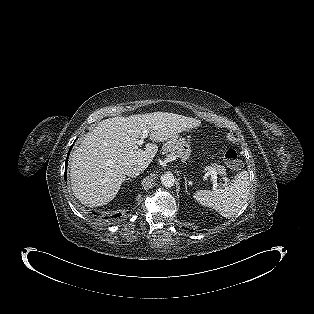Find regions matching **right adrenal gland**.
<instances>
[{
	"instance_id": "right-adrenal-gland-1",
	"label": "right adrenal gland",
	"mask_w": 314,
	"mask_h": 314,
	"mask_svg": "<svg viewBox=\"0 0 314 314\" xmlns=\"http://www.w3.org/2000/svg\"><path fill=\"white\" fill-rule=\"evenodd\" d=\"M125 180H130L131 181L132 179L131 178H126Z\"/></svg>"
}]
</instances>
